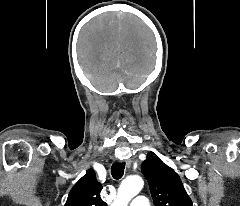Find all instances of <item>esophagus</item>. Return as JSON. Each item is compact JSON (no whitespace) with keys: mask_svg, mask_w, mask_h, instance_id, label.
<instances>
[{"mask_svg":"<svg viewBox=\"0 0 240 206\" xmlns=\"http://www.w3.org/2000/svg\"><path fill=\"white\" fill-rule=\"evenodd\" d=\"M131 160L130 159H127V160H125V163H126V165L128 166V167H130L131 166Z\"/></svg>","mask_w":240,"mask_h":206,"instance_id":"obj_1","label":"esophagus"}]
</instances>
